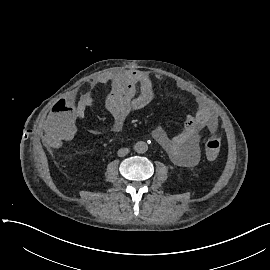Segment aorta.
I'll return each instance as SVG.
<instances>
[{
    "label": "aorta",
    "instance_id": "aorta-1",
    "mask_svg": "<svg viewBox=\"0 0 270 270\" xmlns=\"http://www.w3.org/2000/svg\"><path fill=\"white\" fill-rule=\"evenodd\" d=\"M134 150L137 152V153H145L147 152L148 150V145L146 142L144 141H138L136 142V144L134 145Z\"/></svg>",
    "mask_w": 270,
    "mask_h": 270
}]
</instances>
